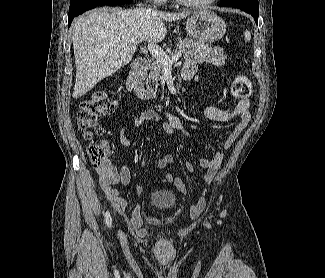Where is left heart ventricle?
I'll use <instances>...</instances> for the list:
<instances>
[{
  "label": "left heart ventricle",
  "instance_id": "left-heart-ventricle-1",
  "mask_svg": "<svg viewBox=\"0 0 325 278\" xmlns=\"http://www.w3.org/2000/svg\"><path fill=\"white\" fill-rule=\"evenodd\" d=\"M192 1H203V0H192Z\"/></svg>",
  "mask_w": 325,
  "mask_h": 278
}]
</instances>
